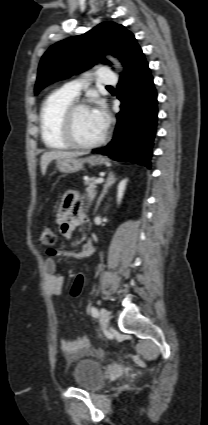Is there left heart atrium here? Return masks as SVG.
I'll use <instances>...</instances> for the list:
<instances>
[{"instance_id":"left-heart-atrium-1","label":"left heart atrium","mask_w":208,"mask_h":425,"mask_svg":"<svg viewBox=\"0 0 208 425\" xmlns=\"http://www.w3.org/2000/svg\"><path fill=\"white\" fill-rule=\"evenodd\" d=\"M93 113L99 122L100 126L105 130L108 124V116L105 108L103 105L99 104L97 107H95L93 110Z\"/></svg>"}]
</instances>
